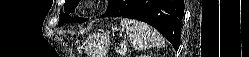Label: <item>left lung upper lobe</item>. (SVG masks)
Here are the masks:
<instances>
[{"label": "left lung upper lobe", "mask_w": 249, "mask_h": 57, "mask_svg": "<svg viewBox=\"0 0 249 57\" xmlns=\"http://www.w3.org/2000/svg\"><path fill=\"white\" fill-rule=\"evenodd\" d=\"M114 0H109V5ZM79 0H66L64 5V13L61 12V15L59 16V25H63L64 23H73V22H83L85 19L82 18H71L69 17V14L74 12L75 7L77 6Z\"/></svg>", "instance_id": "left-lung-upper-lobe-1"}]
</instances>
